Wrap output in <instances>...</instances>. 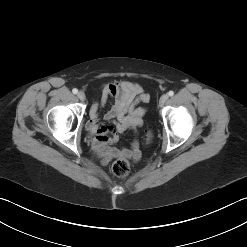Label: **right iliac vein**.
Instances as JSON below:
<instances>
[{
  "mask_svg": "<svg viewBox=\"0 0 247 247\" xmlns=\"http://www.w3.org/2000/svg\"><path fill=\"white\" fill-rule=\"evenodd\" d=\"M77 97L82 101H84L86 98L85 94L81 91L77 93Z\"/></svg>",
  "mask_w": 247,
  "mask_h": 247,
  "instance_id": "63e3f726",
  "label": "right iliac vein"
}]
</instances>
